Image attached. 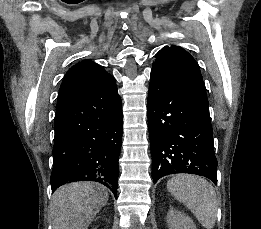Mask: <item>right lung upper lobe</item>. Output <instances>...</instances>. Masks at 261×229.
<instances>
[{"mask_svg":"<svg viewBox=\"0 0 261 229\" xmlns=\"http://www.w3.org/2000/svg\"><path fill=\"white\" fill-rule=\"evenodd\" d=\"M110 76L100 65L90 60L77 63L68 70L62 81L58 94L57 111Z\"/></svg>","mask_w":261,"mask_h":229,"instance_id":"1","label":"right lung upper lobe"}]
</instances>
